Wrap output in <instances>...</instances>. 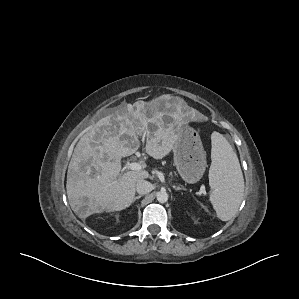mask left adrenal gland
<instances>
[{"instance_id": "1", "label": "left adrenal gland", "mask_w": 299, "mask_h": 299, "mask_svg": "<svg viewBox=\"0 0 299 299\" xmlns=\"http://www.w3.org/2000/svg\"><path fill=\"white\" fill-rule=\"evenodd\" d=\"M174 189L176 190V191H179V190H184V191H186V189L184 188V187H180V186H178V187H174Z\"/></svg>"}]
</instances>
